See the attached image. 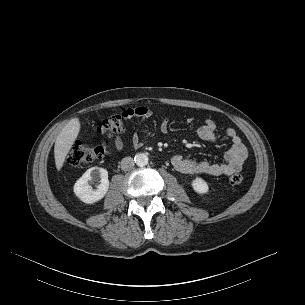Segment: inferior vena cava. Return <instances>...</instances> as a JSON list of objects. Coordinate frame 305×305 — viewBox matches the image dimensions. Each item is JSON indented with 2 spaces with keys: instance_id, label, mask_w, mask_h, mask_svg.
Listing matches in <instances>:
<instances>
[{
  "instance_id": "1",
  "label": "inferior vena cava",
  "mask_w": 305,
  "mask_h": 305,
  "mask_svg": "<svg viewBox=\"0 0 305 305\" xmlns=\"http://www.w3.org/2000/svg\"><path fill=\"white\" fill-rule=\"evenodd\" d=\"M134 167V160L131 157H125L121 160V169L124 171L130 170Z\"/></svg>"
}]
</instances>
